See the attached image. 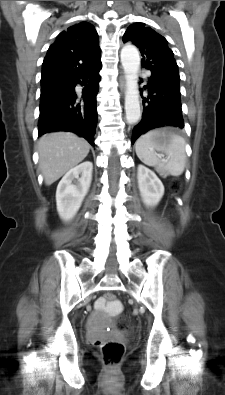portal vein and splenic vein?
I'll return each instance as SVG.
<instances>
[{
  "label": "portal vein and splenic vein",
  "mask_w": 225,
  "mask_h": 395,
  "mask_svg": "<svg viewBox=\"0 0 225 395\" xmlns=\"http://www.w3.org/2000/svg\"><path fill=\"white\" fill-rule=\"evenodd\" d=\"M160 159H161V161L164 162V163L167 161L166 159L162 158V156H160Z\"/></svg>",
  "instance_id": "obj_1"
}]
</instances>
